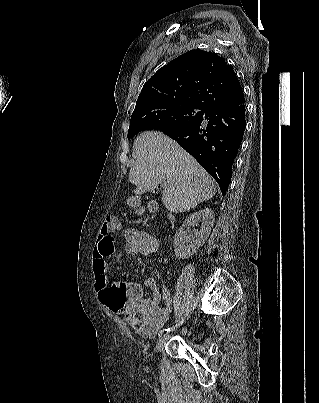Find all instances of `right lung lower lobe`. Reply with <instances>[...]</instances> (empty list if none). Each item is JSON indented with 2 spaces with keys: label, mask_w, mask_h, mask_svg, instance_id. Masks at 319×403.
I'll return each instance as SVG.
<instances>
[{
  "label": "right lung lower lobe",
  "mask_w": 319,
  "mask_h": 403,
  "mask_svg": "<svg viewBox=\"0 0 319 403\" xmlns=\"http://www.w3.org/2000/svg\"><path fill=\"white\" fill-rule=\"evenodd\" d=\"M244 103L208 111L190 125L161 129L209 172L223 195L231 181L232 165L246 127Z\"/></svg>",
  "instance_id": "98d812e1"
}]
</instances>
